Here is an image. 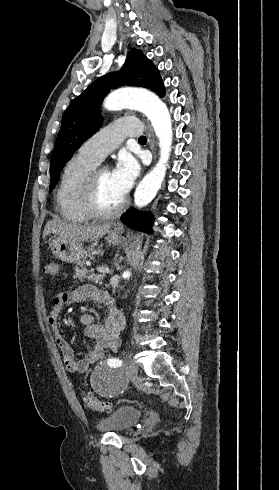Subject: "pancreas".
I'll list each match as a JSON object with an SVG mask.
<instances>
[{
	"instance_id": "obj_1",
	"label": "pancreas",
	"mask_w": 279,
	"mask_h": 490,
	"mask_svg": "<svg viewBox=\"0 0 279 490\" xmlns=\"http://www.w3.org/2000/svg\"><path fill=\"white\" fill-rule=\"evenodd\" d=\"M74 270H75V274L73 278H76V280H80V282H84V280H89V282H95V284H103L102 280L104 276H99V274H94V272H91V270L85 268L82 262H78Z\"/></svg>"
}]
</instances>
